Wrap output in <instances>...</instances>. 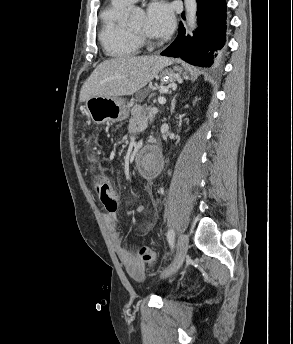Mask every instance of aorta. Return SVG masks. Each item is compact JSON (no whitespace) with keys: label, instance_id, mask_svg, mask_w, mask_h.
<instances>
[{"label":"aorta","instance_id":"obj_1","mask_svg":"<svg viewBox=\"0 0 293 344\" xmlns=\"http://www.w3.org/2000/svg\"><path fill=\"white\" fill-rule=\"evenodd\" d=\"M184 5H185V13H186V20L189 28L191 30H194L197 25V18H196V13H197V1L196 0H184ZM138 11V10H135ZM152 159L151 155H145L142 157L140 161V168L141 170H147L148 164L150 160Z\"/></svg>","mask_w":293,"mask_h":344}]
</instances>
